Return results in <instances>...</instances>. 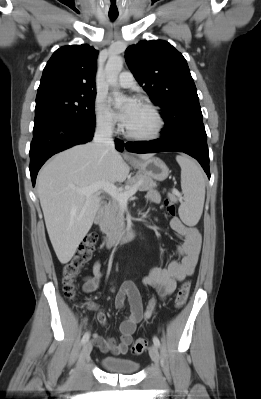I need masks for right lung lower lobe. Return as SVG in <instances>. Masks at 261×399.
<instances>
[{
  "label": "right lung lower lobe",
  "instance_id": "obj_1",
  "mask_svg": "<svg viewBox=\"0 0 261 399\" xmlns=\"http://www.w3.org/2000/svg\"><path fill=\"white\" fill-rule=\"evenodd\" d=\"M95 127H87L66 117H48L34 121L33 140L30 146V174L35 185L37 173L54 154L93 138ZM116 149L123 151L124 143L115 141Z\"/></svg>",
  "mask_w": 261,
  "mask_h": 399
}]
</instances>
